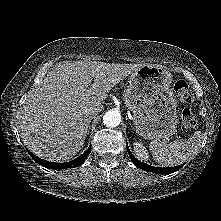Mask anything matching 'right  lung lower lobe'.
<instances>
[{
    "label": "right lung lower lobe",
    "mask_w": 221,
    "mask_h": 221,
    "mask_svg": "<svg viewBox=\"0 0 221 221\" xmlns=\"http://www.w3.org/2000/svg\"><path fill=\"white\" fill-rule=\"evenodd\" d=\"M90 152H91V145L89 146L88 150L84 154L80 155L78 158L74 159L73 161H70L67 163H54V162H49V161L40 159L34 154H32L30 151H28V153L32 156V158L37 163H39L40 165L46 168H52V169H67V168L80 166L81 164L84 163L86 157L89 155Z\"/></svg>",
    "instance_id": "1"
}]
</instances>
